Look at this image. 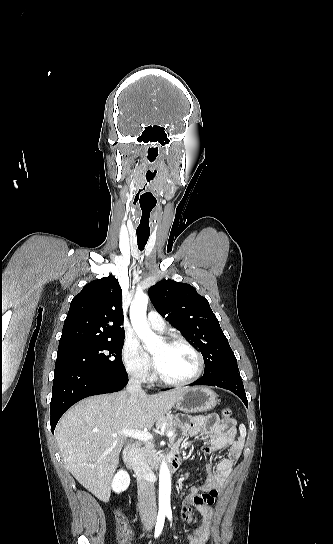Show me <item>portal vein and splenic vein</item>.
<instances>
[{
	"mask_svg": "<svg viewBox=\"0 0 333 544\" xmlns=\"http://www.w3.org/2000/svg\"><path fill=\"white\" fill-rule=\"evenodd\" d=\"M119 434L124 435L126 437L139 439V440H142V441H149V440H151L153 438L152 434L149 433L148 431H142V430H137V429H123V430H121V431H119L117 433H113L112 436L117 437ZM173 434H174V432L172 430H169L167 432L168 437L173 436Z\"/></svg>",
	"mask_w": 333,
	"mask_h": 544,
	"instance_id": "1",
	"label": "portal vein and splenic vein"
}]
</instances>
